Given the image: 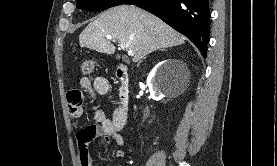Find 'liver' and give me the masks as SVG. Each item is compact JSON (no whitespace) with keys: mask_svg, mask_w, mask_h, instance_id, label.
<instances>
[{"mask_svg":"<svg viewBox=\"0 0 277 166\" xmlns=\"http://www.w3.org/2000/svg\"><path fill=\"white\" fill-rule=\"evenodd\" d=\"M109 35L133 51L134 63L149 53L185 43V37L156 16L133 5L108 9L87 25L79 35V44L100 53L114 54Z\"/></svg>","mask_w":277,"mask_h":166,"instance_id":"liver-1","label":"liver"}]
</instances>
